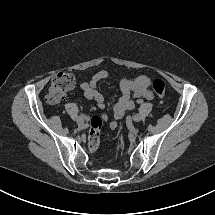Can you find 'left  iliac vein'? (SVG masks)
<instances>
[{
  "label": "left iliac vein",
  "instance_id": "left-iliac-vein-1",
  "mask_svg": "<svg viewBox=\"0 0 215 215\" xmlns=\"http://www.w3.org/2000/svg\"><path fill=\"white\" fill-rule=\"evenodd\" d=\"M132 120L135 122H139L142 120V116L140 114H135L132 116Z\"/></svg>",
  "mask_w": 215,
  "mask_h": 215
}]
</instances>
